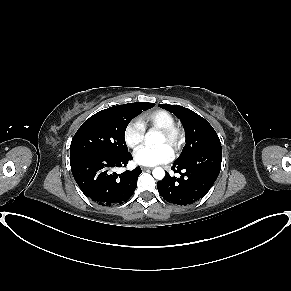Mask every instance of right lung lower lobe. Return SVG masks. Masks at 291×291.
Returning a JSON list of instances; mask_svg holds the SVG:
<instances>
[{
    "mask_svg": "<svg viewBox=\"0 0 291 291\" xmlns=\"http://www.w3.org/2000/svg\"><path fill=\"white\" fill-rule=\"evenodd\" d=\"M130 152L120 155L81 154L70 157L73 177L83 193L102 206L122 204L134 193L140 167L116 174L113 169L126 166Z\"/></svg>",
    "mask_w": 291,
    "mask_h": 291,
    "instance_id": "98d812e1",
    "label": "right lung lower lobe"
}]
</instances>
